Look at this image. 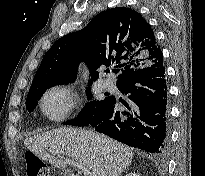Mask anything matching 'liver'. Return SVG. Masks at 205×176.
I'll return each mask as SVG.
<instances>
[{"label":"liver","instance_id":"liver-1","mask_svg":"<svg viewBox=\"0 0 205 176\" xmlns=\"http://www.w3.org/2000/svg\"><path fill=\"white\" fill-rule=\"evenodd\" d=\"M24 145L37 157L63 169L66 162L46 149L85 166L90 176H119L132 161V150L105 135L74 128H57L26 138Z\"/></svg>","mask_w":205,"mask_h":176}]
</instances>
